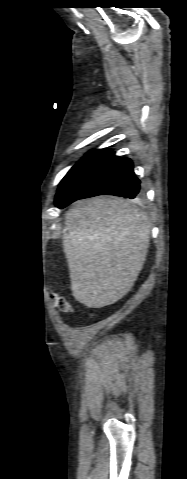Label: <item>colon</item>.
Wrapping results in <instances>:
<instances>
[{
	"label": "colon",
	"mask_w": 187,
	"mask_h": 479,
	"mask_svg": "<svg viewBox=\"0 0 187 479\" xmlns=\"http://www.w3.org/2000/svg\"><path fill=\"white\" fill-rule=\"evenodd\" d=\"M52 299L54 300L56 307L61 312L70 313L72 311L71 304L65 297L52 295Z\"/></svg>",
	"instance_id": "5ec220e1"
}]
</instances>
